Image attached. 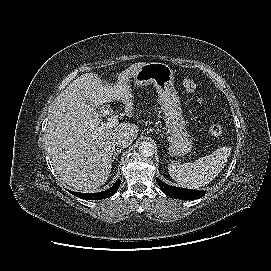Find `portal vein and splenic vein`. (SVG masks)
<instances>
[{
    "instance_id": "18ae733b",
    "label": "portal vein and splenic vein",
    "mask_w": 271,
    "mask_h": 271,
    "mask_svg": "<svg viewBox=\"0 0 271 271\" xmlns=\"http://www.w3.org/2000/svg\"><path fill=\"white\" fill-rule=\"evenodd\" d=\"M119 124V120L118 118H113L110 122L107 123H102L98 128L97 131H102V130H106V129H111L116 127Z\"/></svg>"
}]
</instances>
